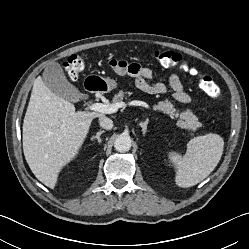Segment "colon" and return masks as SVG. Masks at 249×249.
I'll list each match as a JSON object with an SVG mask.
<instances>
[{
    "label": "colon",
    "mask_w": 249,
    "mask_h": 249,
    "mask_svg": "<svg viewBox=\"0 0 249 249\" xmlns=\"http://www.w3.org/2000/svg\"><path fill=\"white\" fill-rule=\"evenodd\" d=\"M153 56L156 61L164 67H178L182 71L197 76L202 91L211 98L217 97L218 87L213 78L199 73L196 67L191 66L177 52L171 50H155ZM109 64L115 71H125L127 68V62L124 60H111ZM64 69L71 79H77L85 69V60L81 55H71L64 63Z\"/></svg>",
    "instance_id": "obj_1"
}]
</instances>
